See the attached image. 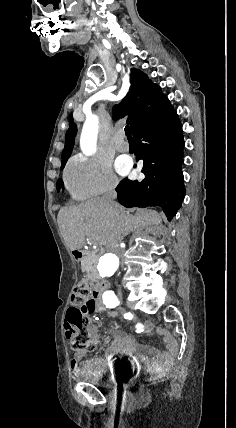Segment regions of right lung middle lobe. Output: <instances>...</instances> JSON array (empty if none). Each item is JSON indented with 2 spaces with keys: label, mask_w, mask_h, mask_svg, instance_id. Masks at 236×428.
<instances>
[{
  "label": "right lung middle lobe",
  "mask_w": 236,
  "mask_h": 428,
  "mask_svg": "<svg viewBox=\"0 0 236 428\" xmlns=\"http://www.w3.org/2000/svg\"><path fill=\"white\" fill-rule=\"evenodd\" d=\"M60 188H63V182H62V180H58L57 181V190L60 191Z\"/></svg>",
  "instance_id": "obj_1"
}]
</instances>
